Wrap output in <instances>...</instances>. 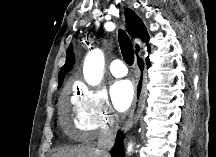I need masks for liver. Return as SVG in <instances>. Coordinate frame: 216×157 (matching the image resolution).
<instances>
[{"label":"liver","mask_w":216,"mask_h":157,"mask_svg":"<svg viewBox=\"0 0 216 157\" xmlns=\"http://www.w3.org/2000/svg\"><path fill=\"white\" fill-rule=\"evenodd\" d=\"M53 157H102L97 152V148L91 146H81L71 149L61 150Z\"/></svg>","instance_id":"liver-1"}]
</instances>
